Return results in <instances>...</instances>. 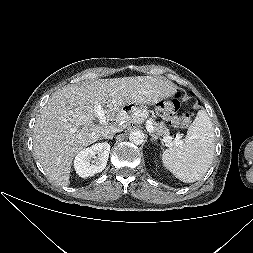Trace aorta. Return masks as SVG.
Masks as SVG:
<instances>
[{
	"label": "aorta",
	"mask_w": 253,
	"mask_h": 253,
	"mask_svg": "<svg viewBox=\"0 0 253 253\" xmlns=\"http://www.w3.org/2000/svg\"><path fill=\"white\" fill-rule=\"evenodd\" d=\"M144 133L140 130H135L130 133L129 140L135 145H141L144 142Z\"/></svg>",
	"instance_id": "obj_1"
}]
</instances>
